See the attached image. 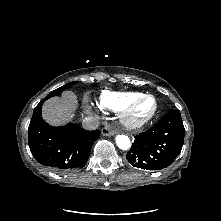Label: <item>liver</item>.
<instances>
[{"mask_svg":"<svg viewBox=\"0 0 221 221\" xmlns=\"http://www.w3.org/2000/svg\"><path fill=\"white\" fill-rule=\"evenodd\" d=\"M77 107V97L71 91H65L62 97H54L46 101L42 108V116L53 126H62L72 120Z\"/></svg>","mask_w":221,"mask_h":221,"instance_id":"obj_1","label":"liver"}]
</instances>
